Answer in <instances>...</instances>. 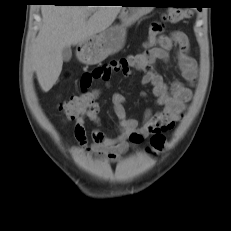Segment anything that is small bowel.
<instances>
[{
	"mask_svg": "<svg viewBox=\"0 0 231 231\" xmlns=\"http://www.w3.org/2000/svg\"><path fill=\"white\" fill-rule=\"evenodd\" d=\"M162 30V24H152L150 37L140 52L98 65L85 72L80 80L81 91L88 92L95 80L108 82L113 73L129 76L133 70L140 71L144 74L142 82L152 86L155 103L161 109L157 112L146 110L143 120L139 122L127 116L125 96L115 93L112 96V106L118 119L119 135L107 137L100 128H96L91 133L92 144L89 145L84 126L85 119L100 124V108L94 103L76 119L74 136L79 147L74 148L75 153L100 156L105 162L112 163L118 161L132 146L140 144L149 135L173 129L182 118L191 100V90L179 81L168 83L156 69V64L158 61L168 62L170 51L177 49L176 58L180 74L187 82L192 83L196 78V63L189 55V41L184 33L176 32L171 36L158 37Z\"/></svg>",
	"mask_w": 231,
	"mask_h": 231,
	"instance_id": "1",
	"label": "small bowel"
}]
</instances>
